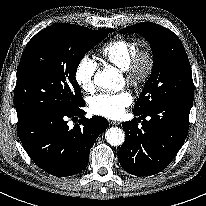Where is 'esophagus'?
I'll use <instances>...</instances> for the list:
<instances>
[{"mask_svg": "<svg viewBox=\"0 0 206 206\" xmlns=\"http://www.w3.org/2000/svg\"><path fill=\"white\" fill-rule=\"evenodd\" d=\"M110 122V124H112V125H119L120 124V122H118V121H109Z\"/></svg>", "mask_w": 206, "mask_h": 206, "instance_id": "obj_1", "label": "esophagus"}]
</instances>
